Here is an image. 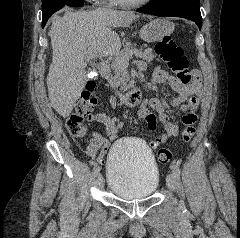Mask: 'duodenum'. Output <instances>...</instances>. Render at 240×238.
<instances>
[{
	"mask_svg": "<svg viewBox=\"0 0 240 238\" xmlns=\"http://www.w3.org/2000/svg\"><path fill=\"white\" fill-rule=\"evenodd\" d=\"M97 69L103 77L109 76V70L105 62L97 63ZM116 93L121 103L128 106L138 105L141 101V91L137 88H132L126 92L116 91Z\"/></svg>",
	"mask_w": 240,
	"mask_h": 238,
	"instance_id": "1",
	"label": "duodenum"
}]
</instances>
